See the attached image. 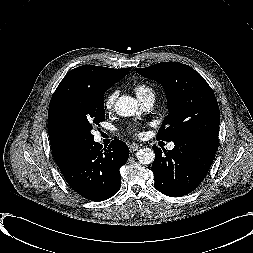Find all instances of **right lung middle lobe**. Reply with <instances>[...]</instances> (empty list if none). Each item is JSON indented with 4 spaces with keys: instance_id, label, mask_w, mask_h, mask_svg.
Masks as SVG:
<instances>
[{
    "instance_id": "right-lung-middle-lobe-1",
    "label": "right lung middle lobe",
    "mask_w": 253,
    "mask_h": 253,
    "mask_svg": "<svg viewBox=\"0 0 253 253\" xmlns=\"http://www.w3.org/2000/svg\"><path fill=\"white\" fill-rule=\"evenodd\" d=\"M111 84L76 86L55 110L59 131L71 141L87 146L94 141L92 126L105 120L104 92Z\"/></svg>"
}]
</instances>
